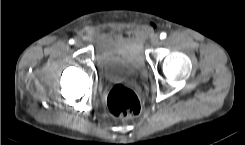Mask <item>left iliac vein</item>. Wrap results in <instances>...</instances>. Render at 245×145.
I'll use <instances>...</instances> for the list:
<instances>
[{
	"instance_id": "4c4485c4",
	"label": "left iliac vein",
	"mask_w": 245,
	"mask_h": 145,
	"mask_svg": "<svg viewBox=\"0 0 245 145\" xmlns=\"http://www.w3.org/2000/svg\"><path fill=\"white\" fill-rule=\"evenodd\" d=\"M151 43L153 45H155V46L159 45L161 43V40H160L159 36L158 35H153L152 38H151Z\"/></svg>"
}]
</instances>
